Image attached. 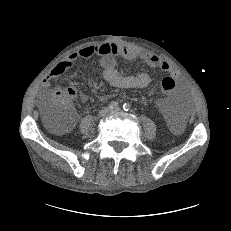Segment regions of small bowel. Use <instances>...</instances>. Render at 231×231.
I'll return each instance as SVG.
<instances>
[{"label": "small bowel", "instance_id": "c3829d8e", "mask_svg": "<svg viewBox=\"0 0 231 231\" xmlns=\"http://www.w3.org/2000/svg\"><path fill=\"white\" fill-rule=\"evenodd\" d=\"M94 55L100 57V66L102 68L105 81L116 88H145L151 82L149 74L145 72L135 75H126L120 72L116 68L117 57H123L128 60H141L151 67L160 68L164 72L169 73L175 79L178 78L177 70L169 62L165 61L157 54L146 53L135 48L123 47L113 43H102L95 46L84 47L59 62L43 79L42 87H50L52 80L72 69L78 59H85ZM80 97L82 100H87V95L85 94H81ZM158 105L166 117L173 119L172 114L167 109V99H161L158 102ZM74 124L75 117L71 121L70 127Z\"/></svg>", "mask_w": 231, "mask_h": 231}]
</instances>
